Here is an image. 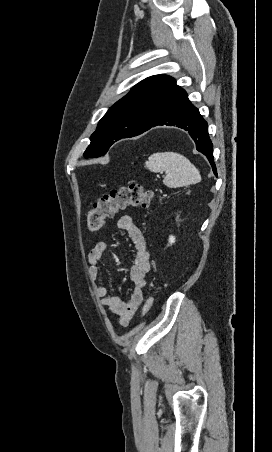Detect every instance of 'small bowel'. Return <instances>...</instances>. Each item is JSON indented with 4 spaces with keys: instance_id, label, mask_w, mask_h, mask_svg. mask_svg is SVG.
<instances>
[{
    "instance_id": "small-bowel-1",
    "label": "small bowel",
    "mask_w": 272,
    "mask_h": 452,
    "mask_svg": "<svg viewBox=\"0 0 272 452\" xmlns=\"http://www.w3.org/2000/svg\"><path fill=\"white\" fill-rule=\"evenodd\" d=\"M116 226L127 233L134 248L130 270L133 283L132 294L128 300H123L119 296L111 295L102 283L96 285L95 293L100 298L101 307L108 314L114 315L121 326H126L144 300L143 289L147 285V275L150 270V253L143 232L131 216L119 217ZM106 250L107 243L99 241L88 255L89 276L92 281H97L99 277V264L103 260Z\"/></svg>"
}]
</instances>
